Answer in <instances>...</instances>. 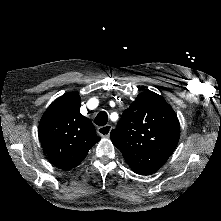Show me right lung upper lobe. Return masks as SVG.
Here are the masks:
<instances>
[{
	"label": "right lung upper lobe",
	"instance_id": "right-lung-upper-lobe-1",
	"mask_svg": "<svg viewBox=\"0 0 221 221\" xmlns=\"http://www.w3.org/2000/svg\"><path fill=\"white\" fill-rule=\"evenodd\" d=\"M80 96L66 94L53 102L39 124V138L49 161L60 169L76 167L100 137L80 114Z\"/></svg>",
	"mask_w": 221,
	"mask_h": 221
}]
</instances>
